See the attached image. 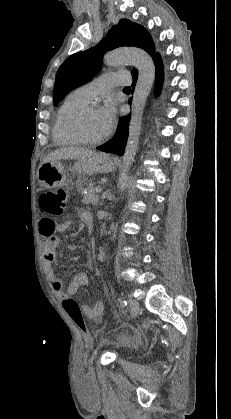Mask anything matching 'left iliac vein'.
<instances>
[{"label": "left iliac vein", "instance_id": "1", "mask_svg": "<svg viewBox=\"0 0 231 419\" xmlns=\"http://www.w3.org/2000/svg\"><path fill=\"white\" fill-rule=\"evenodd\" d=\"M128 302H129V306H130V316L132 318H134L138 315V313L140 311L139 302L137 300H135L134 298H129Z\"/></svg>", "mask_w": 231, "mask_h": 419}]
</instances>
